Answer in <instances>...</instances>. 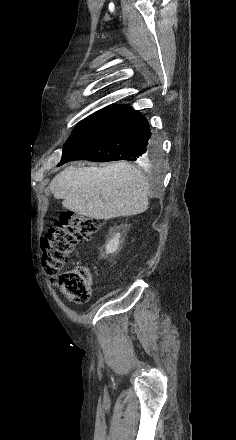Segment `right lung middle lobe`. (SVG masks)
Masks as SVG:
<instances>
[{
  "label": "right lung middle lobe",
  "mask_w": 236,
  "mask_h": 440,
  "mask_svg": "<svg viewBox=\"0 0 236 440\" xmlns=\"http://www.w3.org/2000/svg\"><path fill=\"white\" fill-rule=\"evenodd\" d=\"M114 108L112 107H106L104 109H101L97 112H95L94 114L90 115L89 117H87L86 119L82 120L73 130V132L71 133L70 137L68 138V140L66 141L69 142L71 139H73L74 137H76L78 134H80L81 132L85 131L86 129H88L89 127H91L94 123H96L100 118H102L104 115H106L108 112H110L111 110H113ZM65 143V144H66ZM159 152L158 150H152L143 160V163H156L157 160H159Z\"/></svg>",
  "instance_id": "1"
}]
</instances>
